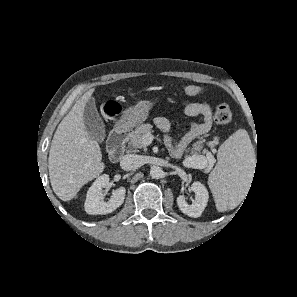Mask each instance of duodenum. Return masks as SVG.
Wrapping results in <instances>:
<instances>
[{
  "instance_id": "410a0bca",
  "label": "duodenum",
  "mask_w": 297,
  "mask_h": 297,
  "mask_svg": "<svg viewBox=\"0 0 297 297\" xmlns=\"http://www.w3.org/2000/svg\"><path fill=\"white\" fill-rule=\"evenodd\" d=\"M130 130V126L127 123L121 122L110 133L108 139V153L112 162H118L121 159Z\"/></svg>"
}]
</instances>
